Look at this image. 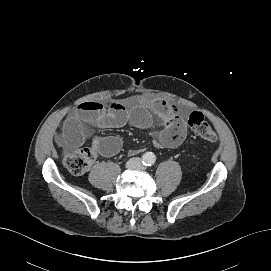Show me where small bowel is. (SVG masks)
Listing matches in <instances>:
<instances>
[{"mask_svg": "<svg viewBox=\"0 0 271 271\" xmlns=\"http://www.w3.org/2000/svg\"><path fill=\"white\" fill-rule=\"evenodd\" d=\"M131 121L139 128H147L153 121L162 130L159 143L167 148L179 146L186 138L187 128L177 105L144 95H137L128 101L113 99L108 104L95 101L81 103L62 125L57 142L64 148L78 147L85 143V125L96 130L119 128ZM122 146L117 136H95L92 147L100 155H116Z\"/></svg>", "mask_w": 271, "mask_h": 271, "instance_id": "obj_1", "label": "small bowel"}]
</instances>
